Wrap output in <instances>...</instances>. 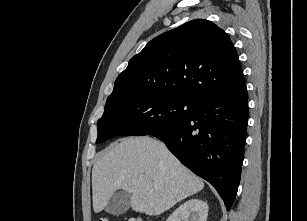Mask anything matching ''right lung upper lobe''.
Returning a JSON list of instances; mask_svg holds the SVG:
<instances>
[{"instance_id":"cb5924a9","label":"right lung upper lobe","mask_w":307,"mask_h":221,"mask_svg":"<svg viewBox=\"0 0 307 221\" xmlns=\"http://www.w3.org/2000/svg\"><path fill=\"white\" fill-rule=\"evenodd\" d=\"M245 87L229 36L196 19L151 40L117 77L106 104L142 94H165L195 103Z\"/></svg>"}]
</instances>
